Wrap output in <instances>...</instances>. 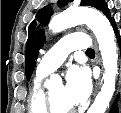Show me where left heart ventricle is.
I'll return each mask as SVG.
<instances>
[{"mask_svg": "<svg viewBox=\"0 0 121 113\" xmlns=\"http://www.w3.org/2000/svg\"><path fill=\"white\" fill-rule=\"evenodd\" d=\"M50 92L58 111L64 112L73 108V104L67 98L65 87L63 85L54 86Z\"/></svg>", "mask_w": 121, "mask_h": 113, "instance_id": "1", "label": "left heart ventricle"}]
</instances>
